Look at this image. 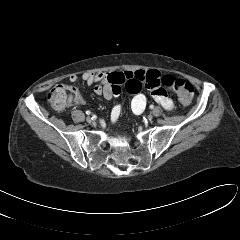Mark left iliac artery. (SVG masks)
<instances>
[{
    "label": "left iliac artery",
    "instance_id": "44dca946",
    "mask_svg": "<svg viewBox=\"0 0 240 240\" xmlns=\"http://www.w3.org/2000/svg\"><path fill=\"white\" fill-rule=\"evenodd\" d=\"M154 108V106L153 105H150V109H153Z\"/></svg>",
    "mask_w": 240,
    "mask_h": 240
}]
</instances>
